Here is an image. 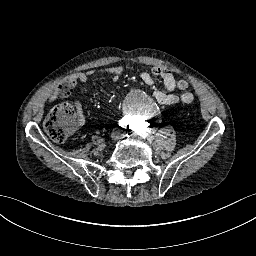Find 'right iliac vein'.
Segmentation results:
<instances>
[{
    "label": "right iliac vein",
    "mask_w": 256,
    "mask_h": 256,
    "mask_svg": "<svg viewBox=\"0 0 256 256\" xmlns=\"http://www.w3.org/2000/svg\"><path fill=\"white\" fill-rule=\"evenodd\" d=\"M118 137H119V134H118V132H116V131H113V132L110 134V138H111L112 140H116Z\"/></svg>",
    "instance_id": "obj_1"
}]
</instances>
